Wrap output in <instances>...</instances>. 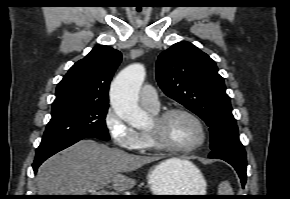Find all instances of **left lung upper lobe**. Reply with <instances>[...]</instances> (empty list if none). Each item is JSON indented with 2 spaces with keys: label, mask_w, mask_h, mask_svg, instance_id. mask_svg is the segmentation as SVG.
Segmentation results:
<instances>
[{
  "label": "left lung upper lobe",
  "mask_w": 290,
  "mask_h": 199,
  "mask_svg": "<svg viewBox=\"0 0 290 199\" xmlns=\"http://www.w3.org/2000/svg\"><path fill=\"white\" fill-rule=\"evenodd\" d=\"M156 77L168 97L206 122L212 151L243 146L224 80L206 53L189 42L176 43L158 57Z\"/></svg>",
  "instance_id": "5c2ea615"
}]
</instances>
